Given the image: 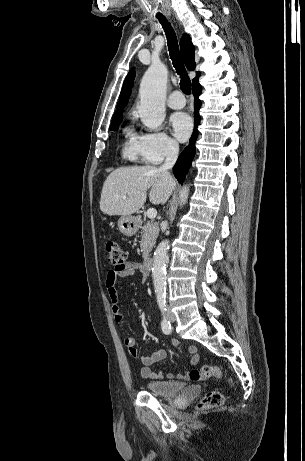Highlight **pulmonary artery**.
Returning <instances> with one entry per match:
<instances>
[{"instance_id": "obj_1", "label": "pulmonary artery", "mask_w": 305, "mask_h": 461, "mask_svg": "<svg viewBox=\"0 0 305 461\" xmlns=\"http://www.w3.org/2000/svg\"><path fill=\"white\" fill-rule=\"evenodd\" d=\"M167 104L172 109H181L185 106L186 100L180 91H174L169 95Z\"/></svg>"}]
</instances>
